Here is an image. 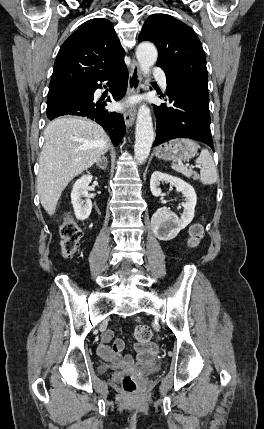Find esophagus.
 Listing matches in <instances>:
<instances>
[{
	"label": "esophagus",
	"instance_id": "obj_1",
	"mask_svg": "<svg viewBox=\"0 0 264 429\" xmlns=\"http://www.w3.org/2000/svg\"><path fill=\"white\" fill-rule=\"evenodd\" d=\"M141 85V75L138 63L133 60L131 63L128 79L127 98L139 93ZM124 120L126 126L129 128L133 125L136 117V109L134 106H127L124 113Z\"/></svg>",
	"mask_w": 264,
	"mask_h": 429
}]
</instances>
